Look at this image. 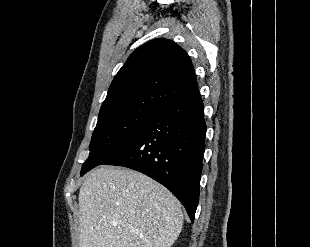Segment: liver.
Instances as JSON below:
<instances>
[{
  "label": "liver",
  "mask_w": 310,
  "mask_h": 247,
  "mask_svg": "<svg viewBox=\"0 0 310 247\" xmlns=\"http://www.w3.org/2000/svg\"><path fill=\"white\" fill-rule=\"evenodd\" d=\"M181 207L138 171L97 168L79 191V247H171L182 230Z\"/></svg>",
  "instance_id": "liver-1"
}]
</instances>
